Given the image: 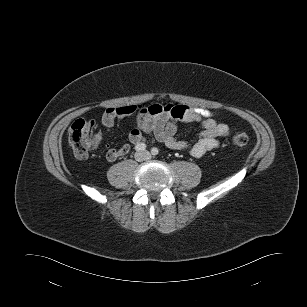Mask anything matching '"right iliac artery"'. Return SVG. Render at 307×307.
I'll use <instances>...</instances> for the list:
<instances>
[{"label": "right iliac artery", "mask_w": 307, "mask_h": 307, "mask_svg": "<svg viewBox=\"0 0 307 307\" xmlns=\"http://www.w3.org/2000/svg\"><path fill=\"white\" fill-rule=\"evenodd\" d=\"M146 149V145L144 143H139L135 146L136 151H144Z\"/></svg>", "instance_id": "1"}]
</instances>
